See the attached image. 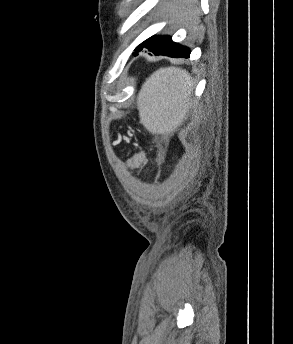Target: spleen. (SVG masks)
Listing matches in <instances>:
<instances>
[{
	"instance_id": "3e777b00",
	"label": "spleen",
	"mask_w": 293,
	"mask_h": 344,
	"mask_svg": "<svg viewBox=\"0 0 293 344\" xmlns=\"http://www.w3.org/2000/svg\"><path fill=\"white\" fill-rule=\"evenodd\" d=\"M193 79L180 68L154 72L143 84L138 97L140 123L153 134H170L186 118Z\"/></svg>"
}]
</instances>
